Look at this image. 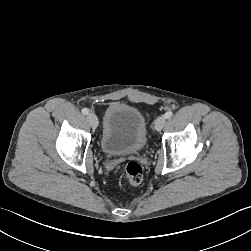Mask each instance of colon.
<instances>
[{"label":"colon","mask_w":251,"mask_h":251,"mask_svg":"<svg viewBox=\"0 0 251 251\" xmlns=\"http://www.w3.org/2000/svg\"><path fill=\"white\" fill-rule=\"evenodd\" d=\"M104 110V107H99L96 111L97 115L104 114ZM120 175L129 184L138 185L143 179V169L139 163L131 161L120 169Z\"/></svg>","instance_id":"obj_1"}]
</instances>
